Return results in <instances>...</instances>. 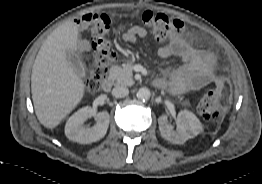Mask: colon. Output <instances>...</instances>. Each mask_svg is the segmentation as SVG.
<instances>
[{
  "label": "colon",
  "instance_id": "5ec220e1",
  "mask_svg": "<svg viewBox=\"0 0 262 184\" xmlns=\"http://www.w3.org/2000/svg\"><path fill=\"white\" fill-rule=\"evenodd\" d=\"M142 21L158 41L175 40L185 30L181 20L163 13L146 11L142 15ZM81 22L89 27L94 61L93 69L86 80V90L89 93H96L101 82L106 78L110 65L116 61V53L109 38L111 20L105 14L87 13L82 16ZM224 83L223 78H217L216 88L207 89L200 96L197 109L207 120H214L220 116L219 99Z\"/></svg>",
  "mask_w": 262,
  "mask_h": 184
}]
</instances>
